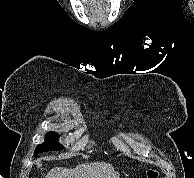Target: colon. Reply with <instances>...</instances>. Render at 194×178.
I'll return each mask as SVG.
<instances>
[{
  "instance_id": "obj_1",
  "label": "colon",
  "mask_w": 194,
  "mask_h": 178,
  "mask_svg": "<svg viewBox=\"0 0 194 178\" xmlns=\"http://www.w3.org/2000/svg\"><path fill=\"white\" fill-rule=\"evenodd\" d=\"M146 175L147 178H158V172L154 169H149Z\"/></svg>"
}]
</instances>
